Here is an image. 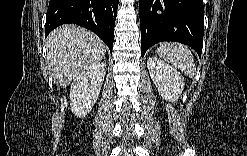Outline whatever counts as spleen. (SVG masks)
<instances>
[{"mask_svg":"<svg viewBox=\"0 0 247 156\" xmlns=\"http://www.w3.org/2000/svg\"><path fill=\"white\" fill-rule=\"evenodd\" d=\"M157 53L185 75H188L190 78L195 76L196 68L193 55L187 46L176 42H165L157 48Z\"/></svg>","mask_w":247,"mask_h":156,"instance_id":"1","label":"spleen"}]
</instances>
